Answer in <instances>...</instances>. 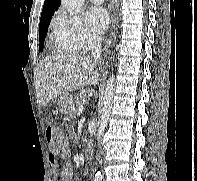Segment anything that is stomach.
<instances>
[{
	"label": "stomach",
	"instance_id": "1",
	"mask_svg": "<svg viewBox=\"0 0 197 181\" xmlns=\"http://www.w3.org/2000/svg\"><path fill=\"white\" fill-rule=\"evenodd\" d=\"M73 103L72 95L65 92L60 95L58 100V109L62 114H68L70 111V107Z\"/></svg>",
	"mask_w": 197,
	"mask_h": 181
}]
</instances>
